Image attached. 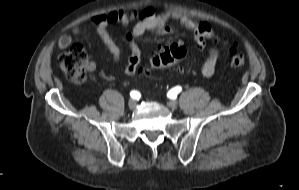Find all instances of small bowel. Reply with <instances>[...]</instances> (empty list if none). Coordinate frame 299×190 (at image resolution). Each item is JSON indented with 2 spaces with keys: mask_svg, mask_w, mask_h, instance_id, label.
<instances>
[{
  "mask_svg": "<svg viewBox=\"0 0 299 190\" xmlns=\"http://www.w3.org/2000/svg\"><path fill=\"white\" fill-rule=\"evenodd\" d=\"M170 20L193 33L199 50L203 49L205 42L215 35V31L209 23L199 21L177 9H167L161 13H156L155 9L152 7H144L132 11L118 9L111 10L103 14H96L90 19L96 28L99 38L108 48L115 61L120 60L121 51L110 35L108 27L117 23L128 24L130 22H134L132 30L126 34V40L131 50V55L125 67V73L128 75H134L137 73L140 61V50L135 43V38L150 30L155 31L158 34L172 32L173 26L168 24ZM73 33L79 34L80 30L75 29ZM71 44V36L65 35L60 38L58 47L60 49H65ZM219 56L220 52L217 48L214 47L210 49L208 57L201 68L203 76L210 77L214 74ZM87 68L88 70H94L95 63L89 61L87 63Z\"/></svg>",
  "mask_w": 299,
  "mask_h": 190,
  "instance_id": "small-bowel-1",
  "label": "small bowel"
}]
</instances>
